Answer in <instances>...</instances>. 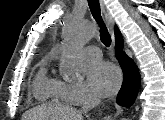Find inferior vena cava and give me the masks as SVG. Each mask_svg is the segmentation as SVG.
<instances>
[{
    "label": "inferior vena cava",
    "mask_w": 165,
    "mask_h": 120,
    "mask_svg": "<svg viewBox=\"0 0 165 120\" xmlns=\"http://www.w3.org/2000/svg\"><path fill=\"white\" fill-rule=\"evenodd\" d=\"M99 102H100V99L98 97H96L95 95H89L83 105V109L90 110L94 108L97 104H99Z\"/></svg>",
    "instance_id": "inferior-vena-cava-1"
}]
</instances>
